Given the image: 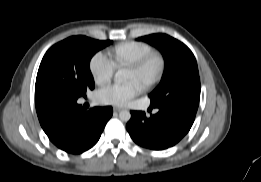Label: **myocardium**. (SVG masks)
I'll return each instance as SVG.
<instances>
[{
  "label": "myocardium",
  "mask_w": 261,
  "mask_h": 182,
  "mask_svg": "<svg viewBox=\"0 0 261 182\" xmlns=\"http://www.w3.org/2000/svg\"><path fill=\"white\" fill-rule=\"evenodd\" d=\"M150 64H154L155 69L152 75L143 84V89L145 90L153 87L161 79L165 68L163 57L156 52H151L127 66L130 70L140 72Z\"/></svg>",
  "instance_id": "obj_1"
}]
</instances>
